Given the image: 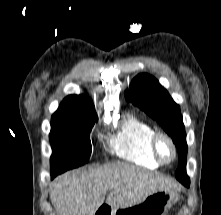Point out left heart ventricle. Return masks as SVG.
<instances>
[{
    "mask_svg": "<svg viewBox=\"0 0 221 215\" xmlns=\"http://www.w3.org/2000/svg\"><path fill=\"white\" fill-rule=\"evenodd\" d=\"M162 150H163V152H164L165 154H167V153H168V149H167V147H166V146H163V147H162Z\"/></svg>",
    "mask_w": 221,
    "mask_h": 215,
    "instance_id": "left-heart-ventricle-1",
    "label": "left heart ventricle"
}]
</instances>
